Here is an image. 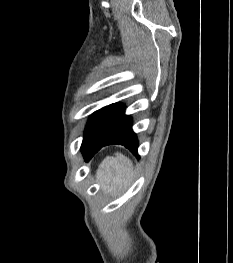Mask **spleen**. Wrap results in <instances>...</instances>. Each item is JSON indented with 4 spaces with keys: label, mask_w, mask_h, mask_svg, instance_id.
Wrapping results in <instances>:
<instances>
[{
    "label": "spleen",
    "mask_w": 233,
    "mask_h": 263,
    "mask_svg": "<svg viewBox=\"0 0 233 263\" xmlns=\"http://www.w3.org/2000/svg\"><path fill=\"white\" fill-rule=\"evenodd\" d=\"M133 176V164L121 153L106 157L97 170V182L110 192L125 190Z\"/></svg>",
    "instance_id": "1"
}]
</instances>
